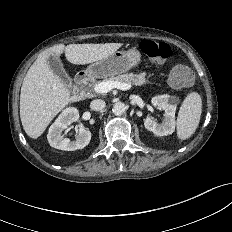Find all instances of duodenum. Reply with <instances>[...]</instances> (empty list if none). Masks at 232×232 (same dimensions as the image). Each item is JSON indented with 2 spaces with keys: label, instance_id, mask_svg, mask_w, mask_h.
<instances>
[{
  "label": "duodenum",
  "instance_id": "duodenum-1",
  "mask_svg": "<svg viewBox=\"0 0 232 232\" xmlns=\"http://www.w3.org/2000/svg\"><path fill=\"white\" fill-rule=\"evenodd\" d=\"M89 81V74L87 72H79L75 77V82L79 86H84Z\"/></svg>",
  "mask_w": 232,
  "mask_h": 232
}]
</instances>
